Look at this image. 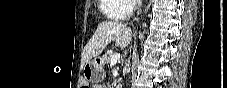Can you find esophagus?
Here are the masks:
<instances>
[{"instance_id": "obj_1", "label": "esophagus", "mask_w": 227, "mask_h": 88, "mask_svg": "<svg viewBox=\"0 0 227 88\" xmlns=\"http://www.w3.org/2000/svg\"><path fill=\"white\" fill-rule=\"evenodd\" d=\"M150 5H151V1H149V3L146 5L144 13L148 11V9L150 8Z\"/></svg>"}]
</instances>
